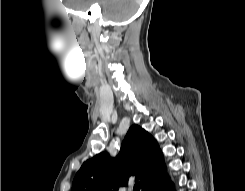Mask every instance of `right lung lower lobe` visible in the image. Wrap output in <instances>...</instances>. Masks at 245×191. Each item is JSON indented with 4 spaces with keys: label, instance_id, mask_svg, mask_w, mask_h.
<instances>
[{
    "label": "right lung lower lobe",
    "instance_id": "obj_1",
    "mask_svg": "<svg viewBox=\"0 0 245 191\" xmlns=\"http://www.w3.org/2000/svg\"><path fill=\"white\" fill-rule=\"evenodd\" d=\"M144 191H175L174 184L171 182L166 172L157 181L149 185Z\"/></svg>",
    "mask_w": 245,
    "mask_h": 191
}]
</instances>
